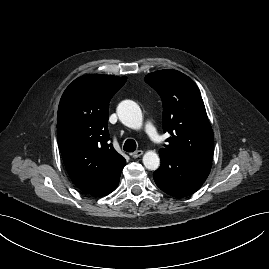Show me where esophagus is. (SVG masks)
Masks as SVG:
<instances>
[{"instance_id": "obj_1", "label": "esophagus", "mask_w": 269, "mask_h": 269, "mask_svg": "<svg viewBox=\"0 0 269 269\" xmlns=\"http://www.w3.org/2000/svg\"><path fill=\"white\" fill-rule=\"evenodd\" d=\"M143 153H144V152H143L142 150H137V151L131 153L130 155H131L133 158H138V157L142 156Z\"/></svg>"}]
</instances>
